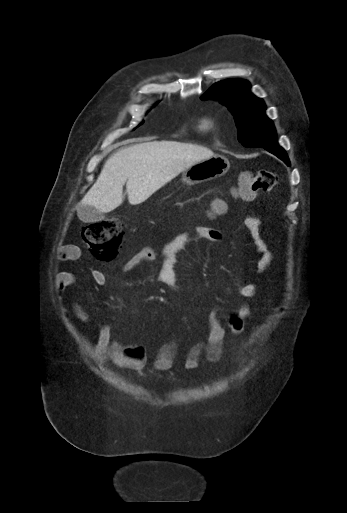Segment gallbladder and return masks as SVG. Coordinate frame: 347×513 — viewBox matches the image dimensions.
<instances>
[{"mask_svg":"<svg viewBox=\"0 0 347 513\" xmlns=\"http://www.w3.org/2000/svg\"><path fill=\"white\" fill-rule=\"evenodd\" d=\"M78 217L84 223H92L101 220L102 218H104V215L102 212L98 211L92 206H86L80 208V210L78 211Z\"/></svg>","mask_w":347,"mask_h":513,"instance_id":"gallbladder-1","label":"gallbladder"}]
</instances>
